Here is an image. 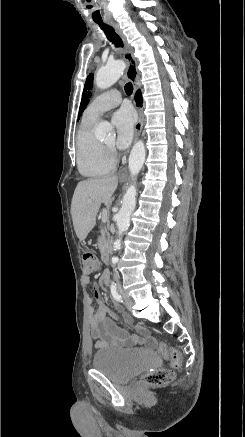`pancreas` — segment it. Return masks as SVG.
<instances>
[{"label":"pancreas","mask_w":245,"mask_h":437,"mask_svg":"<svg viewBox=\"0 0 245 437\" xmlns=\"http://www.w3.org/2000/svg\"><path fill=\"white\" fill-rule=\"evenodd\" d=\"M100 228H101V230H100L101 235L98 238V247H99L100 251H104L109 243L110 235L108 232L107 225L102 224Z\"/></svg>","instance_id":"obj_1"}]
</instances>
